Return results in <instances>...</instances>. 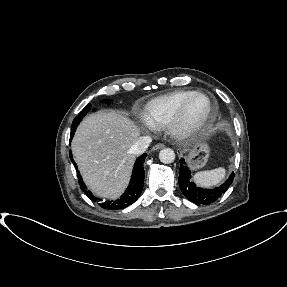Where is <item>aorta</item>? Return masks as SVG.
<instances>
[{"mask_svg": "<svg viewBox=\"0 0 287 287\" xmlns=\"http://www.w3.org/2000/svg\"><path fill=\"white\" fill-rule=\"evenodd\" d=\"M159 159L164 164H170L175 160V153L170 148H163L159 152Z\"/></svg>", "mask_w": 287, "mask_h": 287, "instance_id": "1", "label": "aorta"}]
</instances>
